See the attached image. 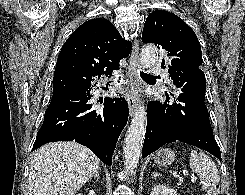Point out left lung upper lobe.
<instances>
[{"label": "left lung upper lobe", "instance_id": "1", "mask_svg": "<svg viewBox=\"0 0 245 195\" xmlns=\"http://www.w3.org/2000/svg\"><path fill=\"white\" fill-rule=\"evenodd\" d=\"M144 43H154L172 56L168 72L178 88L176 93H192L205 98V75L201 47L194 31L178 16L154 11L146 19L142 32Z\"/></svg>", "mask_w": 245, "mask_h": 195}]
</instances>
